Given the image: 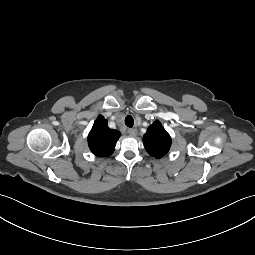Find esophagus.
<instances>
[{
    "mask_svg": "<svg viewBox=\"0 0 255 255\" xmlns=\"http://www.w3.org/2000/svg\"><path fill=\"white\" fill-rule=\"evenodd\" d=\"M129 135L136 136L137 135V129H129L128 130Z\"/></svg>",
    "mask_w": 255,
    "mask_h": 255,
    "instance_id": "esophagus-1",
    "label": "esophagus"
}]
</instances>
